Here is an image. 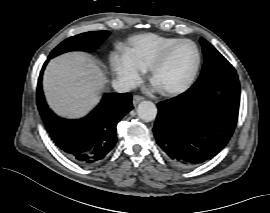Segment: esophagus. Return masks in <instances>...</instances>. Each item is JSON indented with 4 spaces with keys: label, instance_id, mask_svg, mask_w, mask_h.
Returning a JSON list of instances; mask_svg holds the SVG:
<instances>
[{
    "label": "esophagus",
    "instance_id": "1",
    "mask_svg": "<svg viewBox=\"0 0 270 213\" xmlns=\"http://www.w3.org/2000/svg\"><path fill=\"white\" fill-rule=\"evenodd\" d=\"M145 98L143 96L140 95H135L133 97V104L137 105L139 102L143 101Z\"/></svg>",
    "mask_w": 270,
    "mask_h": 213
}]
</instances>
